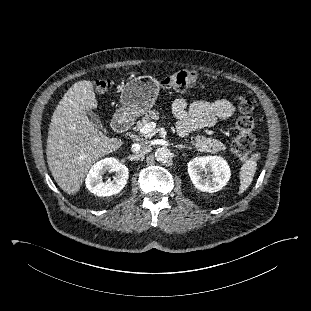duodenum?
Instances as JSON below:
<instances>
[{
  "label": "duodenum",
  "instance_id": "410a0bca",
  "mask_svg": "<svg viewBox=\"0 0 311 311\" xmlns=\"http://www.w3.org/2000/svg\"><path fill=\"white\" fill-rule=\"evenodd\" d=\"M131 124V117L126 114L117 115L112 122L113 128L119 132H124L128 130L131 127Z\"/></svg>",
  "mask_w": 311,
  "mask_h": 311
}]
</instances>
